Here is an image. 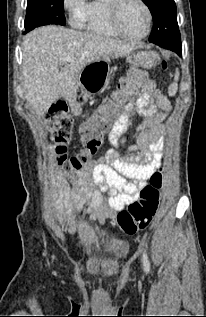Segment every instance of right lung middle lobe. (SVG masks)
<instances>
[{"instance_id": "obj_1", "label": "right lung middle lobe", "mask_w": 206, "mask_h": 317, "mask_svg": "<svg viewBox=\"0 0 206 317\" xmlns=\"http://www.w3.org/2000/svg\"><path fill=\"white\" fill-rule=\"evenodd\" d=\"M63 2L64 0H28L24 34L43 25H65Z\"/></svg>"}]
</instances>
